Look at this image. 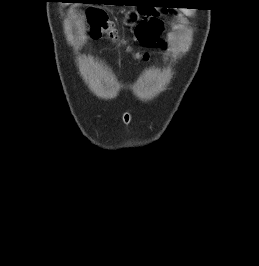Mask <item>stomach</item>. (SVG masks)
Instances as JSON below:
<instances>
[{"mask_svg": "<svg viewBox=\"0 0 259 266\" xmlns=\"http://www.w3.org/2000/svg\"><path fill=\"white\" fill-rule=\"evenodd\" d=\"M132 18H130L129 16L128 17H126V20L127 21H130Z\"/></svg>", "mask_w": 259, "mask_h": 266, "instance_id": "0dacf381", "label": "stomach"}]
</instances>
